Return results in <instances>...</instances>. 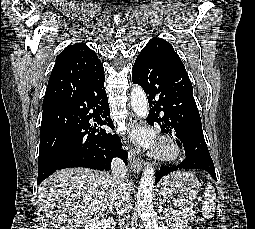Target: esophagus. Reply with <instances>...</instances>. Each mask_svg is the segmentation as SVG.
<instances>
[{
	"mask_svg": "<svg viewBox=\"0 0 255 229\" xmlns=\"http://www.w3.org/2000/svg\"><path fill=\"white\" fill-rule=\"evenodd\" d=\"M139 125H140L139 119L134 114H131L129 117L130 128L134 129L135 127ZM129 161H130V165H131V169L133 173L135 175H138L140 170L143 167V161L141 160L139 156H137L135 148H131V150L129 151Z\"/></svg>",
	"mask_w": 255,
	"mask_h": 229,
	"instance_id": "esophagus-1",
	"label": "esophagus"
}]
</instances>
